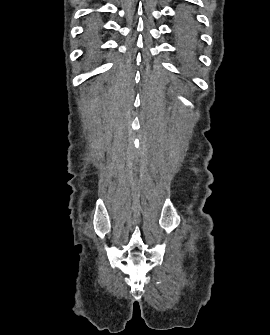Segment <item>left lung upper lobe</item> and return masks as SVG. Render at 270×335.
<instances>
[{
	"label": "left lung upper lobe",
	"mask_w": 270,
	"mask_h": 335,
	"mask_svg": "<svg viewBox=\"0 0 270 335\" xmlns=\"http://www.w3.org/2000/svg\"><path fill=\"white\" fill-rule=\"evenodd\" d=\"M182 19L183 21L188 24L192 21V13L191 11L185 9L182 11Z\"/></svg>",
	"instance_id": "left-lung-upper-lobe-1"
}]
</instances>
